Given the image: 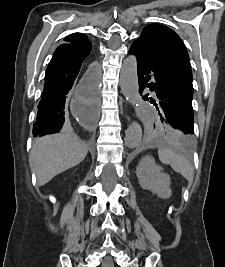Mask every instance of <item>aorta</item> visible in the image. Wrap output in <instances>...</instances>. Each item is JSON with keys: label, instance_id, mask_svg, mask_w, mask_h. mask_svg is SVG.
I'll return each mask as SVG.
<instances>
[{"label": "aorta", "instance_id": "obj_1", "mask_svg": "<svg viewBox=\"0 0 225 267\" xmlns=\"http://www.w3.org/2000/svg\"><path fill=\"white\" fill-rule=\"evenodd\" d=\"M120 86L123 95L134 102L139 96V85L137 75V60L134 55L127 57L122 65L120 73ZM142 138V129L140 124L133 122L126 131L125 144L129 148H136Z\"/></svg>", "mask_w": 225, "mask_h": 267}]
</instances>
